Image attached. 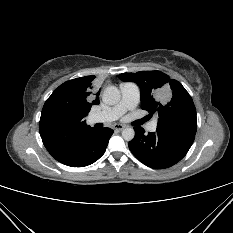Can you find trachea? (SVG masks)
Wrapping results in <instances>:
<instances>
[{
  "instance_id": "obj_1",
  "label": "trachea",
  "mask_w": 233,
  "mask_h": 233,
  "mask_svg": "<svg viewBox=\"0 0 233 233\" xmlns=\"http://www.w3.org/2000/svg\"><path fill=\"white\" fill-rule=\"evenodd\" d=\"M147 120H148V117H145V118H143V119L137 121V123H138L139 125H141V124H143L144 122H146Z\"/></svg>"
}]
</instances>
